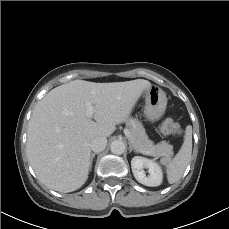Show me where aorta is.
<instances>
[{
    "instance_id": "obj_1",
    "label": "aorta",
    "mask_w": 229,
    "mask_h": 229,
    "mask_svg": "<svg viewBox=\"0 0 229 229\" xmlns=\"http://www.w3.org/2000/svg\"><path fill=\"white\" fill-rule=\"evenodd\" d=\"M126 149V145L123 141L121 140H115L111 143L110 145V150L113 154H116V155H121L124 153Z\"/></svg>"
}]
</instances>
